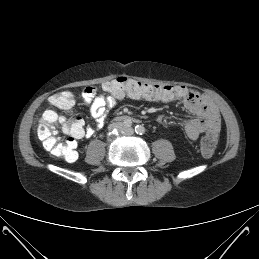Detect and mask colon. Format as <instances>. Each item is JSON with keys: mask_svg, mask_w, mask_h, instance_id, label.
<instances>
[{"mask_svg": "<svg viewBox=\"0 0 259 259\" xmlns=\"http://www.w3.org/2000/svg\"><path fill=\"white\" fill-rule=\"evenodd\" d=\"M102 89L110 94H129L138 98H158L168 90L166 86L154 85L129 77H117L102 84ZM50 102L56 107L65 108L71 102L68 92H59L51 96ZM61 121L62 130L68 135L60 138L54 129V124ZM83 131L82 119L73 116L69 119H60L59 116L49 111L39 121L37 135L44 148L52 155L73 162L77 159V142ZM217 135L207 134L201 141V151L205 157H211L216 149Z\"/></svg>", "mask_w": 259, "mask_h": 259, "instance_id": "1", "label": "colon"}]
</instances>
